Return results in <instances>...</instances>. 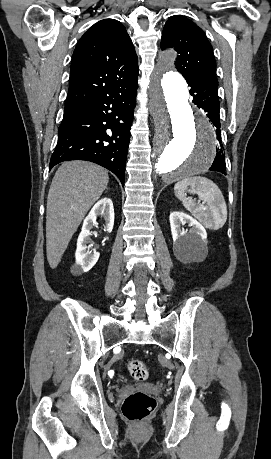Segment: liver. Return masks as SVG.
<instances>
[{
  "label": "liver",
  "instance_id": "liver-1",
  "mask_svg": "<svg viewBox=\"0 0 271 459\" xmlns=\"http://www.w3.org/2000/svg\"><path fill=\"white\" fill-rule=\"evenodd\" d=\"M109 176L91 162H64L50 186L46 214V251L50 267H57L85 214L102 196Z\"/></svg>",
  "mask_w": 271,
  "mask_h": 459
}]
</instances>
